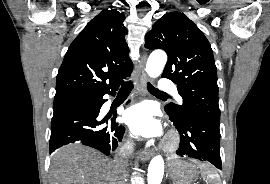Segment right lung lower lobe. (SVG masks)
<instances>
[{
	"label": "right lung lower lobe",
	"mask_w": 270,
	"mask_h": 184,
	"mask_svg": "<svg viewBox=\"0 0 270 184\" xmlns=\"http://www.w3.org/2000/svg\"><path fill=\"white\" fill-rule=\"evenodd\" d=\"M115 89L63 96L54 99L51 125L50 154L63 145L80 143L95 148L105 155L115 150L121 142L125 128L114 122L101 127L108 118L100 119L105 94L114 95Z\"/></svg>",
	"instance_id": "98d812e1"
}]
</instances>
